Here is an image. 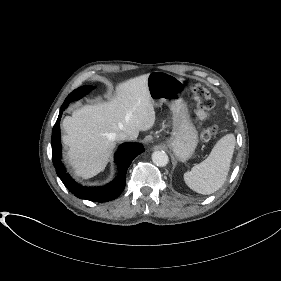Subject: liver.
Listing matches in <instances>:
<instances>
[{"instance_id": "liver-1", "label": "liver", "mask_w": 281, "mask_h": 281, "mask_svg": "<svg viewBox=\"0 0 281 281\" xmlns=\"http://www.w3.org/2000/svg\"><path fill=\"white\" fill-rule=\"evenodd\" d=\"M144 74L120 83L115 96L85 105L63 120L70 164L78 177H94L105 168L116 145L115 134L126 132L131 139L153 127L156 117Z\"/></svg>"}]
</instances>
